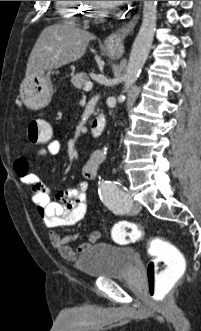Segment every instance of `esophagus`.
Masks as SVG:
<instances>
[{"label":"esophagus","instance_id":"34e87169","mask_svg":"<svg viewBox=\"0 0 201 331\" xmlns=\"http://www.w3.org/2000/svg\"><path fill=\"white\" fill-rule=\"evenodd\" d=\"M137 20L138 14L134 15L129 22L124 24L115 32L111 33L105 39V47L110 53L122 54L124 52V41L132 33Z\"/></svg>","mask_w":201,"mask_h":331}]
</instances>
